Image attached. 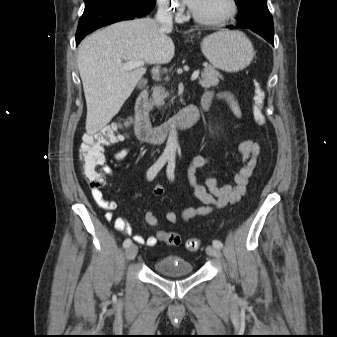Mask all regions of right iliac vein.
<instances>
[{"mask_svg":"<svg viewBox=\"0 0 337 337\" xmlns=\"http://www.w3.org/2000/svg\"><path fill=\"white\" fill-rule=\"evenodd\" d=\"M138 252V248L136 245L132 244L126 249V259L128 261L133 260Z\"/></svg>","mask_w":337,"mask_h":337,"instance_id":"obj_1","label":"right iliac vein"}]
</instances>
